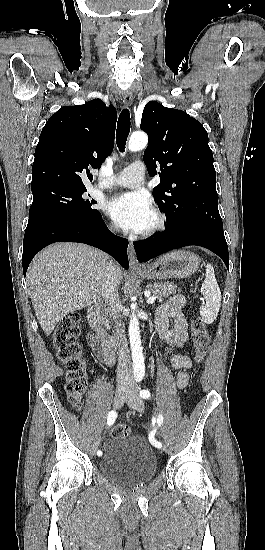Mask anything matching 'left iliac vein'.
Listing matches in <instances>:
<instances>
[{
	"label": "left iliac vein",
	"mask_w": 265,
	"mask_h": 550,
	"mask_svg": "<svg viewBox=\"0 0 265 550\" xmlns=\"http://www.w3.org/2000/svg\"><path fill=\"white\" fill-rule=\"evenodd\" d=\"M126 402L132 409H135L139 412L143 411V401L135 390H130L128 392L126 396ZM163 450H166V448L163 447Z\"/></svg>",
	"instance_id": "obj_1"
}]
</instances>
